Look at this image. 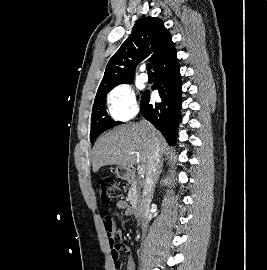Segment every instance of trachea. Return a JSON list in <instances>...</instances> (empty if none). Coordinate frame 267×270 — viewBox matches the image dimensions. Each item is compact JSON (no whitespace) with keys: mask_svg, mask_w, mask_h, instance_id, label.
<instances>
[{"mask_svg":"<svg viewBox=\"0 0 267 270\" xmlns=\"http://www.w3.org/2000/svg\"><path fill=\"white\" fill-rule=\"evenodd\" d=\"M146 68H147V70H148V73H152V72H151V68H152V64H151V63H148V64L146 65Z\"/></svg>","mask_w":267,"mask_h":270,"instance_id":"3493384b","label":"trachea"}]
</instances>
